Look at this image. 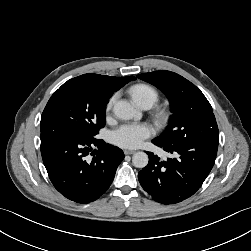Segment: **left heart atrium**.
<instances>
[{
	"instance_id": "1",
	"label": "left heart atrium",
	"mask_w": 251,
	"mask_h": 251,
	"mask_svg": "<svg viewBox=\"0 0 251 251\" xmlns=\"http://www.w3.org/2000/svg\"><path fill=\"white\" fill-rule=\"evenodd\" d=\"M153 134V129L145 123H127L112 133L113 142L123 148H136Z\"/></svg>"
}]
</instances>
